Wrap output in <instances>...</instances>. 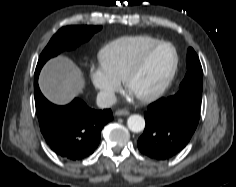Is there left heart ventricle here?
Masks as SVG:
<instances>
[{"label":"left heart ventricle","mask_w":236,"mask_h":187,"mask_svg":"<svg viewBox=\"0 0 236 187\" xmlns=\"http://www.w3.org/2000/svg\"><path fill=\"white\" fill-rule=\"evenodd\" d=\"M173 61L174 53L169 46L156 49L133 80L130 92L137 96L155 91L166 79Z\"/></svg>","instance_id":"1"}]
</instances>
